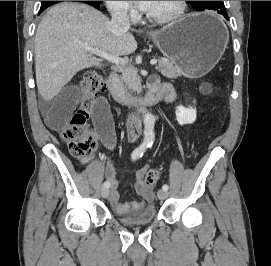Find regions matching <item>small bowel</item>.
Instances as JSON below:
<instances>
[{
    "label": "small bowel",
    "instance_id": "small-bowel-1",
    "mask_svg": "<svg viewBox=\"0 0 271 266\" xmlns=\"http://www.w3.org/2000/svg\"><path fill=\"white\" fill-rule=\"evenodd\" d=\"M157 82L156 79L152 81ZM168 89V94L165 97L166 102H172L175 98V92L168 84H163ZM79 93L76 87L67 86L60 91L53 99L42 103V110L45 115L46 122L52 128H59L62 122L73 111ZM92 134L99 139L108 148H113L116 143V135L113 124V119L109 107L105 101H100L93 119ZM90 158L82 159V163H87ZM148 166H144L137 170L134 174L135 191L140 196V199L132 202L121 203L119 194V181L116 178L114 169H109L107 172V179L111 185L109 193V202L113 209L118 213L125 214L134 211H141L147 203H151L154 199V192L146 189L142 185V178L147 173Z\"/></svg>",
    "mask_w": 271,
    "mask_h": 266
}]
</instances>
